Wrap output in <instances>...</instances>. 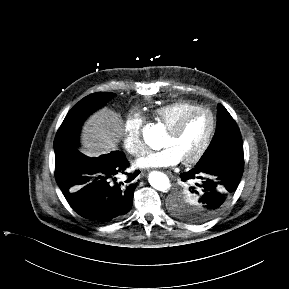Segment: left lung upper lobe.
I'll use <instances>...</instances> for the list:
<instances>
[{
    "mask_svg": "<svg viewBox=\"0 0 289 289\" xmlns=\"http://www.w3.org/2000/svg\"><path fill=\"white\" fill-rule=\"evenodd\" d=\"M229 157L243 158V143L236 122L229 112L219 104L215 135L196 165L201 166ZM171 212L179 219L190 223H202L209 220L199 215V206L190 188L184 191L182 189L175 195L171 203Z\"/></svg>",
    "mask_w": 289,
    "mask_h": 289,
    "instance_id": "obj_1",
    "label": "left lung upper lobe"
}]
</instances>
